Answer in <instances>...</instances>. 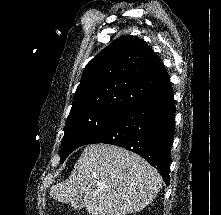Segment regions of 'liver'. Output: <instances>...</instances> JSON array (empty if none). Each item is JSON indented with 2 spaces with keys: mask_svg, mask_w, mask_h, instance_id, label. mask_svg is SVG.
Segmentation results:
<instances>
[{
  "mask_svg": "<svg viewBox=\"0 0 221 215\" xmlns=\"http://www.w3.org/2000/svg\"><path fill=\"white\" fill-rule=\"evenodd\" d=\"M161 186L159 172L141 156L115 145L90 144L50 196L63 203L83 198L90 215H127L151 204Z\"/></svg>",
  "mask_w": 221,
  "mask_h": 215,
  "instance_id": "6515ba94",
  "label": "liver"
}]
</instances>
